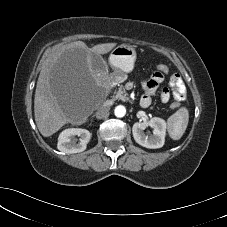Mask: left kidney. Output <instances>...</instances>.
Returning a JSON list of instances; mask_svg holds the SVG:
<instances>
[{
	"mask_svg": "<svg viewBox=\"0 0 227 227\" xmlns=\"http://www.w3.org/2000/svg\"><path fill=\"white\" fill-rule=\"evenodd\" d=\"M148 126L153 128V135L144 133V129ZM166 127V122L158 117H154L148 122H136L132 127L134 140L146 148H161L165 142Z\"/></svg>",
	"mask_w": 227,
	"mask_h": 227,
	"instance_id": "5707ae66",
	"label": "left kidney"
}]
</instances>
